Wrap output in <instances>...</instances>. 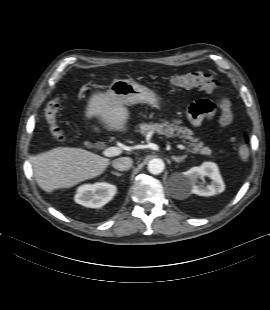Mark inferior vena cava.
<instances>
[{
	"label": "inferior vena cava",
	"mask_w": 270,
	"mask_h": 310,
	"mask_svg": "<svg viewBox=\"0 0 270 310\" xmlns=\"http://www.w3.org/2000/svg\"><path fill=\"white\" fill-rule=\"evenodd\" d=\"M132 164H133V161L129 157H121V158L115 159L112 162L113 167L119 171H125V170L130 169L132 167Z\"/></svg>",
	"instance_id": "obj_1"
}]
</instances>
